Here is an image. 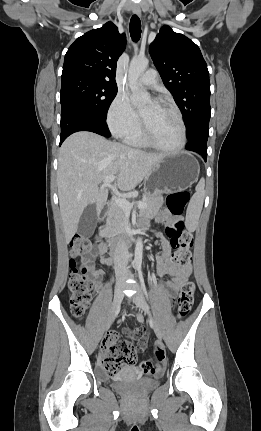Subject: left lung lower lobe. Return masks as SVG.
I'll return each instance as SVG.
<instances>
[{
  "label": "left lung lower lobe",
  "instance_id": "obj_1",
  "mask_svg": "<svg viewBox=\"0 0 261 431\" xmlns=\"http://www.w3.org/2000/svg\"><path fill=\"white\" fill-rule=\"evenodd\" d=\"M208 134L209 129H202L191 139H188L185 149L199 153L206 161Z\"/></svg>",
  "mask_w": 261,
  "mask_h": 431
}]
</instances>
